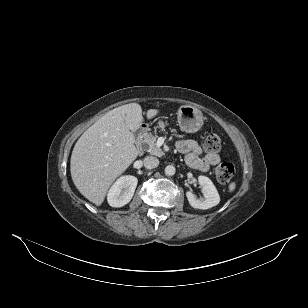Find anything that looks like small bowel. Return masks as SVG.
<instances>
[{"instance_id": "c3829d8e", "label": "small bowel", "mask_w": 308, "mask_h": 308, "mask_svg": "<svg viewBox=\"0 0 308 308\" xmlns=\"http://www.w3.org/2000/svg\"><path fill=\"white\" fill-rule=\"evenodd\" d=\"M177 149L185 155L186 163L198 171H208L211 166L220 162L218 152H207L205 155H202L203 149L194 140H182L178 142Z\"/></svg>"}]
</instances>
